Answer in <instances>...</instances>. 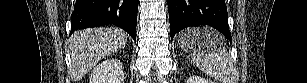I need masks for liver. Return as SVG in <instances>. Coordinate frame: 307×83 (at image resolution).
Listing matches in <instances>:
<instances>
[{
    "label": "liver",
    "mask_w": 307,
    "mask_h": 83,
    "mask_svg": "<svg viewBox=\"0 0 307 83\" xmlns=\"http://www.w3.org/2000/svg\"><path fill=\"white\" fill-rule=\"evenodd\" d=\"M127 44V34L114 27H97L75 32L70 39L71 79L81 80L104 57Z\"/></svg>",
    "instance_id": "liver-1"
}]
</instances>
